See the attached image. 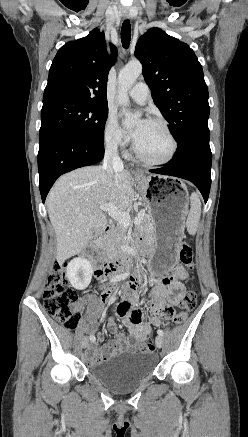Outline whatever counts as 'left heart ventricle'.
<instances>
[{
  "label": "left heart ventricle",
  "instance_id": "obj_1",
  "mask_svg": "<svg viewBox=\"0 0 248 437\" xmlns=\"http://www.w3.org/2000/svg\"><path fill=\"white\" fill-rule=\"evenodd\" d=\"M135 144L140 153L150 160L164 159L171 149V142L163 128L149 121Z\"/></svg>",
  "mask_w": 248,
  "mask_h": 437
}]
</instances>
